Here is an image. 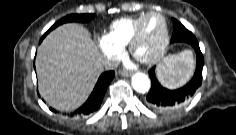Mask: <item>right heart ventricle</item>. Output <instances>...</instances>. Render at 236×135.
<instances>
[{
    "label": "right heart ventricle",
    "instance_id": "obj_1",
    "mask_svg": "<svg viewBox=\"0 0 236 135\" xmlns=\"http://www.w3.org/2000/svg\"><path fill=\"white\" fill-rule=\"evenodd\" d=\"M145 14L115 20L106 34L108 39L121 49L128 45L130 38L141 18Z\"/></svg>",
    "mask_w": 236,
    "mask_h": 135
}]
</instances>
